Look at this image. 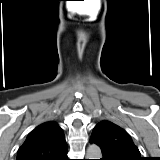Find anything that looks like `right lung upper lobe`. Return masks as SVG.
I'll list each match as a JSON object with an SVG mask.
<instances>
[{
  "label": "right lung upper lobe",
  "instance_id": "cb5924a9",
  "mask_svg": "<svg viewBox=\"0 0 160 160\" xmlns=\"http://www.w3.org/2000/svg\"><path fill=\"white\" fill-rule=\"evenodd\" d=\"M67 150L62 129L57 123L50 121L29 133L18 150L16 160H61Z\"/></svg>",
  "mask_w": 160,
  "mask_h": 160
}]
</instances>
